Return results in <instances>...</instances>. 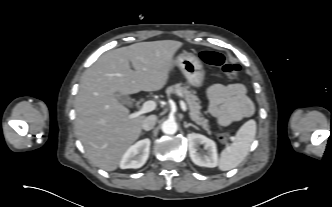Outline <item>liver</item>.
<instances>
[{"label": "liver", "instance_id": "liver-1", "mask_svg": "<svg viewBox=\"0 0 332 207\" xmlns=\"http://www.w3.org/2000/svg\"><path fill=\"white\" fill-rule=\"evenodd\" d=\"M182 45L174 40L135 43L104 53L83 73L75 99V130L95 166L116 170L141 133L145 116L131 119L118 96L161 90Z\"/></svg>", "mask_w": 332, "mask_h": 207}]
</instances>
